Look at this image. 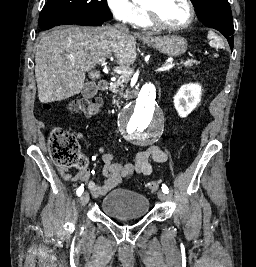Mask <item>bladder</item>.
<instances>
[{
  "instance_id": "31cf9c89",
  "label": "bladder",
  "mask_w": 256,
  "mask_h": 267,
  "mask_svg": "<svg viewBox=\"0 0 256 267\" xmlns=\"http://www.w3.org/2000/svg\"><path fill=\"white\" fill-rule=\"evenodd\" d=\"M101 208L115 218H140L148 214L149 199L135 191L113 189L102 197Z\"/></svg>"
}]
</instances>
